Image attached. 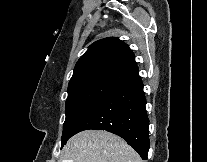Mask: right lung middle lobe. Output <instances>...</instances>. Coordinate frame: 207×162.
Instances as JSON below:
<instances>
[{"label": "right lung middle lobe", "mask_w": 207, "mask_h": 162, "mask_svg": "<svg viewBox=\"0 0 207 162\" xmlns=\"http://www.w3.org/2000/svg\"><path fill=\"white\" fill-rule=\"evenodd\" d=\"M115 87L93 85L68 91L66 100V119L63 126L62 145L73 135L81 121L107 96Z\"/></svg>", "instance_id": "right-lung-middle-lobe-1"}]
</instances>
